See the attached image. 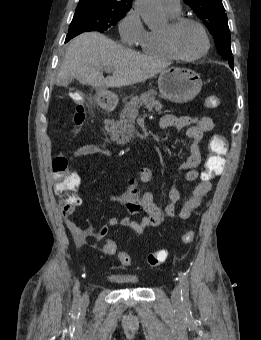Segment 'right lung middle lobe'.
Wrapping results in <instances>:
<instances>
[{
	"label": "right lung middle lobe",
	"instance_id": "dd1d6c3e",
	"mask_svg": "<svg viewBox=\"0 0 261 340\" xmlns=\"http://www.w3.org/2000/svg\"><path fill=\"white\" fill-rule=\"evenodd\" d=\"M129 9L92 4H78L68 33L74 31H99L114 26Z\"/></svg>",
	"mask_w": 261,
	"mask_h": 340
}]
</instances>
